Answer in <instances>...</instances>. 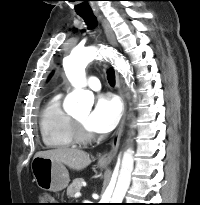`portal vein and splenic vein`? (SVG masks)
<instances>
[{"label": "portal vein and splenic vein", "mask_w": 200, "mask_h": 205, "mask_svg": "<svg viewBox=\"0 0 200 205\" xmlns=\"http://www.w3.org/2000/svg\"><path fill=\"white\" fill-rule=\"evenodd\" d=\"M80 196H81V193H80V192H76L75 195H74L75 198H78V197H80Z\"/></svg>", "instance_id": "portal-vein-and-splenic-vein-1"}]
</instances>
